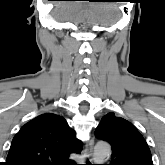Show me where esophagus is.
Listing matches in <instances>:
<instances>
[{
	"instance_id": "obj_1",
	"label": "esophagus",
	"mask_w": 165,
	"mask_h": 165,
	"mask_svg": "<svg viewBox=\"0 0 165 165\" xmlns=\"http://www.w3.org/2000/svg\"><path fill=\"white\" fill-rule=\"evenodd\" d=\"M93 147H94V140L93 138H91L85 145V149H84L85 157L89 159L92 157Z\"/></svg>"
}]
</instances>
